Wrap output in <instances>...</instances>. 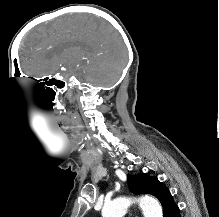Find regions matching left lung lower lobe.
<instances>
[{"label":"left lung lower lobe","instance_id":"0a47b994","mask_svg":"<svg viewBox=\"0 0 219 217\" xmlns=\"http://www.w3.org/2000/svg\"><path fill=\"white\" fill-rule=\"evenodd\" d=\"M164 217H181L179 207L175 203L171 204Z\"/></svg>","mask_w":219,"mask_h":217}]
</instances>
